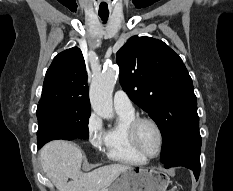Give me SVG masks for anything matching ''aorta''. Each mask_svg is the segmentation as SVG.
<instances>
[{
  "label": "aorta",
  "mask_w": 233,
  "mask_h": 191,
  "mask_svg": "<svg viewBox=\"0 0 233 191\" xmlns=\"http://www.w3.org/2000/svg\"><path fill=\"white\" fill-rule=\"evenodd\" d=\"M118 77V67L109 66L94 77L90 86V102L94 112L102 118L112 119V93Z\"/></svg>",
  "instance_id": "762f6f07"
}]
</instances>
